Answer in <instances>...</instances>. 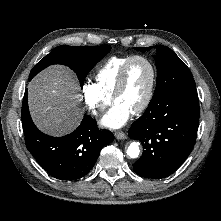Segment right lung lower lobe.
Segmentation results:
<instances>
[{
    "label": "right lung lower lobe",
    "instance_id": "98d812e1",
    "mask_svg": "<svg viewBox=\"0 0 221 221\" xmlns=\"http://www.w3.org/2000/svg\"><path fill=\"white\" fill-rule=\"evenodd\" d=\"M21 118L28 151L46 172L57 179L77 180L87 175L101 149L113 141L112 133L99 130L89 115H85L78 128L66 136L56 138L45 135L31 119L27 90Z\"/></svg>",
    "mask_w": 221,
    "mask_h": 221
}]
</instances>
